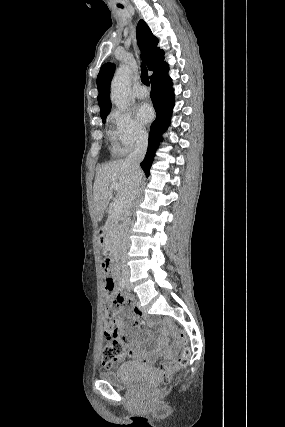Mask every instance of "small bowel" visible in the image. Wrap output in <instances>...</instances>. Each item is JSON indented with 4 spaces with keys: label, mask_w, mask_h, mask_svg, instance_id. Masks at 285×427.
<instances>
[{
    "label": "small bowel",
    "mask_w": 285,
    "mask_h": 427,
    "mask_svg": "<svg viewBox=\"0 0 285 427\" xmlns=\"http://www.w3.org/2000/svg\"><path fill=\"white\" fill-rule=\"evenodd\" d=\"M119 298L124 299V295L121 291H119ZM121 301H123V306H122V310L117 316L116 325L118 328L119 336L126 341L127 346L129 347V352L122 355L118 359V361L122 362L127 359H130L141 364H148L149 357L158 353V350L141 348L142 341L135 340L136 333L139 328L140 318L136 315L133 316L131 319V326H129L126 323V320L129 317V314L127 312L128 303L125 300H121ZM133 342H134V346L132 347ZM182 343H183V340L180 339L179 344H182ZM171 365L173 366V368H175L174 361L171 362Z\"/></svg>",
    "instance_id": "c3829d8e"
}]
</instances>
